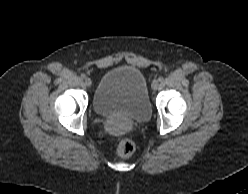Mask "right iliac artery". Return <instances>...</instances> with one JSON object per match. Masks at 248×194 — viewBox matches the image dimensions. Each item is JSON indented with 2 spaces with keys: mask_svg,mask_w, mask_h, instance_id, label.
Instances as JSON below:
<instances>
[{
  "mask_svg": "<svg viewBox=\"0 0 248 194\" xmlns=\"http://www.w3.org/2000/svg\"><path fill=\"white\" fill-rule=\"evenodd\" d=\"M86 75L85 74H81V79H85Z\"/></svg>",
  "mask_w": 248,
  "mask_h": 194,
  "instance_id": "82829eb1",
  "label": "right iliac artery"
}]
</instances>
